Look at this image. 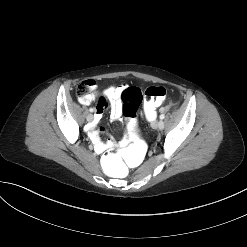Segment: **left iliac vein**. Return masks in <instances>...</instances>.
Here are the masks:
<instances>
[{"mask_svg":"<svg viewBox=\"0 0 247 247\" xmlns=\"http://www.w3.org/2000/svg\"><path fill=\"white\" fill-rule=\"evenodd\" d=\"M155 128L158 129V130H162L164 128V122L162 120L158 121L155 124Z\"/></svg>","mask_w":247,"mask_h":247,"instance_id":"4c4485c4","label":"left iliac vein"}]
</instances>
